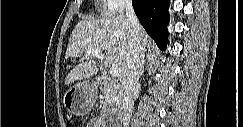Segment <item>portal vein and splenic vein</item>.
Returning a JSON list of instances; mask_svg holds the SVG:
<instances>
[{
  "label": "portal vein and splenic vein",
  "mask_w": 243,
  "mask_h": 127,
  "mask_svg": "<svg viewBox=\"0 0 243 127\" xmlns=\"http://www.w3.org/2000/svg\"><path fill=\"white\" fill-rule=\"evenodd\" d=\"M86 54L94 56L100 60H104V58H105L104 54L100 50H96V49H90V50L86 51ZM110 74L112 77H115V78L119 77V76H121V70L117 66H112L110 68Z\"/></svg>",
  "instance_id": "1"
}]
</instances>
